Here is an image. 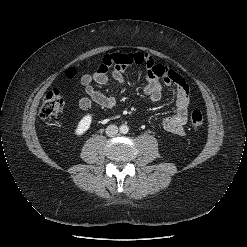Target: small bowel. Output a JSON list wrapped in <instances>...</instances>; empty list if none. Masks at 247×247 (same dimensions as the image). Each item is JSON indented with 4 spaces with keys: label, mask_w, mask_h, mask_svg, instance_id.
<instances>
[{
    "label": "small bowel",
    "mask_w": 247,
    "mask_h": 247,
    "mask_svg": "<svg viewBox=\"0 0 247 247\" xmlns=\"http://www.w3.org/2000/svg\"><path fill=\"white\" fill-rule=\"evenodd\" d=\"M133 65H143L147 70L143 91L150 102L157 103L161 99V82L175 89L176 111L162 120V126L168 132L184 135L190 105L189 87L180 74L162 64L155 63L148 53H113L106 55L96 71L84 74L80 79L85 90V96L79 100L80 108L88 110L93 103H96L104 108L113 109L116 105V99L96 90L93 84L107 85L110 82L109 77H111L116 85H122L124 83V72Z\"/></svg>",
    "instance_id": "c3829d8e"
}]
</instances>
